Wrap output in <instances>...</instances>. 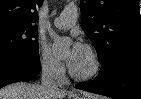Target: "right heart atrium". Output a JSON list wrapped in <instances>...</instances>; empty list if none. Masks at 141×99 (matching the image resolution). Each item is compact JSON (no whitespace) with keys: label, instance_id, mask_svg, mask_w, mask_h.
<instances>
[{"label":"right heart atrium","instance_id":"right-heart-atrium-1","mask_svg":"<svg viewBox=\"0 0 141 99\" xmlns=\"http://www.w3.org/2000/svg\"><path fill=\"white\" fill-rule=\"evenodd\" d=\"M38 59L41 71L49 78L60 79L64 75V65L45 45L38 48Z\"/></svg>","mask_w":141,"mask_h":99}]
</instances>
